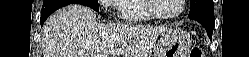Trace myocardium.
<instances>
[{
  "label": "myocardium",
  "instance_id": "obj_1",
  "mask_svg": "<svg viewBox=\"0 0 249 57\" xmlns=\"http://www.w3.org/2000/svg\"><path fill=\"white\" fill-rule=\"evenodd\" d=\"M180 1V8L176 13H171V14H162L156 11V0H146L145 5L148 9V11L151 13V15L160 20H169V19H174L176 17H179L185 10V0H179Z\"/></svg>",
  "mask_w": 249,
  "mask_h": 57
}]
</instances>
